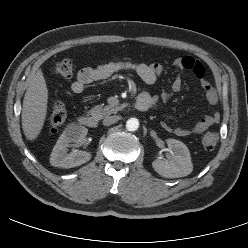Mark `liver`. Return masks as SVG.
<instances>
[{"mask_svg": "<svg viewBox=\"0 0 248 248\" xmlns=\"http://www.w3.org/2000/svg\"><path fill=\"white\" fill-rule=\"evenodd\" d=\"M48 90L41 70L34 74L26 90L22 108V128L26 138L35 140L47 114Z\"/></svg>", "mask_w": 248, "mask_h": 248, "instance_id": "6515ba94", "label": "liver"}]
</instances>
